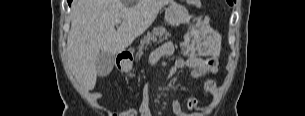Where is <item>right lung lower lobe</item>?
Masks as SVG:
<instances>
[{
	"mask_svg": "<svg viewBox=\"0 0 305 116\" xmlns=\"http://www.w3.org/2000/svg\"><path fill=\"white\" fill-rule=\"evenodd\" d=\"M67 1H68L69 5H70V3H71L72 0H67Z\"/></svg>",
	"mask_w": 305,
	"mask_h": 116,
	"instance_id": "right-lung-lower-lobe-1",
	"label": "right lung lower lobe"
}]
</instances>
